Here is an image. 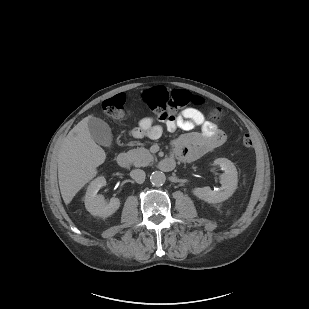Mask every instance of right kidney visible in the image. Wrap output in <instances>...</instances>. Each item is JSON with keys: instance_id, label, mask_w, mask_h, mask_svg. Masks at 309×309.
<instances>
[{"instance_id": "1", "label": "right kidney", "mask_w": 309, "mask_h": 309, "mask_svg": "<svg viewBox=\"0 0 309 309\" xmlns=\"http://www.w3.org/2000/svg\"><path fill=\"white\" fill-rule=\"evenodd\" d=\"M106 185V179L101 176L94 179L87 188L84 197L85 207L93 216L108 217L115 213L120 207V199L111 198L109 203H106L104 196L97 195L99 189Z\"/></svg>"}]
</instances>
